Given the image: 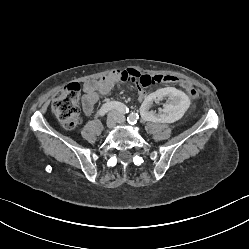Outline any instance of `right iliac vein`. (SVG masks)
Wrapping results in <instances>:
<instances>
[{
	"instance_id": "right-iliac-vein-1",
	"label": "right iliac vein",
	"mask_w": 249,
	"mask_h": 249,
	"mask_svg": "<svg viewBox=\"0 0 249 249\" xmlns=\"http://www.w3.org/2000/svg\"><path fill=\"white\" fill-rule=\"evenodd\" d=\"M120 115L118 112H112L108 115L106 120V125L108 128H113L116 123L119 121Z\"/></svg>"
}]
</instances>
